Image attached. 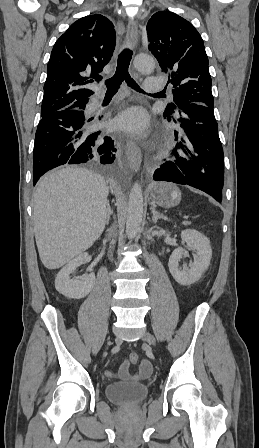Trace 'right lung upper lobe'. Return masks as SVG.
<instances>
[{"label":"right lung upper lobe","mask_w":259,"mask_h":448,"mask_svg":"<svg viewBox=\"0 0 259 448\" xmlns=\"http://www.w3.org/2000/svg\"><path fill=\"white\" fill-rule=\"evenodd\" d=\"M116 44L113 23L93 14L75 21L56 41L47 65L41 116L87 103L91 83L110 61Z\"/></svg>","instance_id":"right-lung-upper-lobe-1"}]
</instances>
